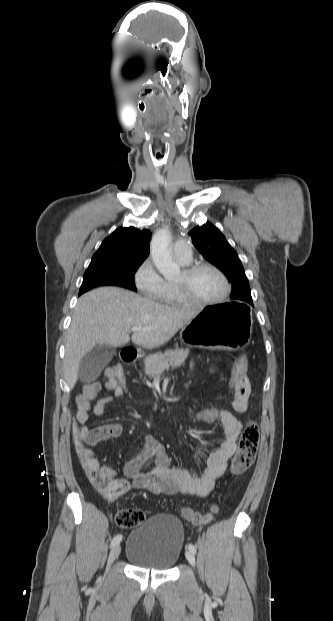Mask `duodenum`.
Here are the masks:
<instances>
[{"label": "duodenum", "mask_w": 333, "mask_h": 621, "mask_svg": "<svg viewBox=\"0 0 333 621\" xmlns=\"http://www.w3.org/2000/svg\"><path fill=\"white\" fill-rule=\"evenodd\" d=\"M139 357V353L132 348L123 349L121 352V360L126 364H133Z\"/></svg>", "instance_id": "410a0bca"}]
</instances>
